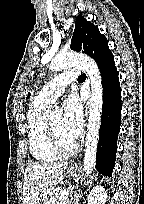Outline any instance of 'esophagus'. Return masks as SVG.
<instances>
[{
  "label": "esophagus",
  "mask_w": 144,
  "mask_h": 204,
  "mask_svg": "<svg viewBox=\"0 0 144 204\" xmlns=\"http://www.w3.org/2000/svg\"><path fill=\"white\" fill-rule=\"evenodd\" d=\"M77 166V164L75 163L74 165H73V167H76Z\"/></svg>",
  "instance_id": "obj_1"
}]
</instances>
